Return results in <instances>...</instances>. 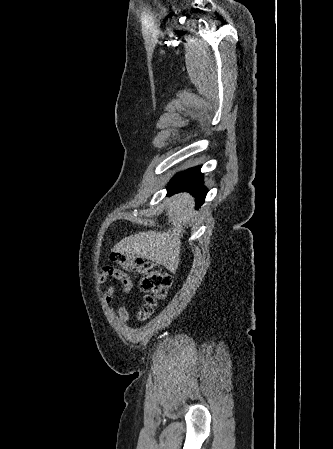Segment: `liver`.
Returning <instances> with one entry per match:
<instances>
[{"label": "liver", "instance_id": "6515ba94", "mask_svg": "<svg viewBox=\"0 0 333 449\" xmlns=\"http://www.w3.org/2000/svg\"><path fill=\"white\" fill-rule=\"evenodd\" d=\"M195 198L189 193H179L166 200V211L169 222H172V233L148 231L123 238L113 251L135 254L145 257L169 270H176L180 260L181 237L185 232L190 216L193 215Z\"/></svg>", "mask_w": 333, "mask_h": 449}]
</instances>
